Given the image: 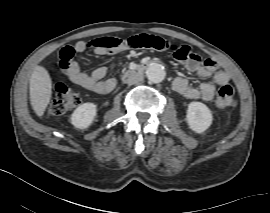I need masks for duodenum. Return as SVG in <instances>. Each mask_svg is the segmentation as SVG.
Listing matches in <instances>:
<instances>
[{
	"label": "duodenum",
	"mask_w": 270,
	"mask_h": 213,
	"mask_svg": "<svg viewBox=\"0 0 270 213\" xmlns=\"http://www.w3.org/2000/svg\"><path fill=\"white\" fill-rule=\"evenodd\" d=\"M146 68H147V64H141V65H139L138 67L135 68L134 72L138 73V74H141L146 70Z\"/></svg>",
	"instance_id": "1"
}]
</instances>
